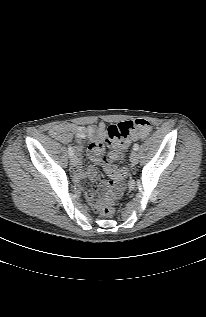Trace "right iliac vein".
Returning a JSON list of instances; mask_svg holds the SVG:
<instances>
[{
    "mask_svg": "<svg viewBox=\"0 0 206 317\" xmlns=\"http://www.w3.org/2000/svg\"><path fill=\"white\" fill-rule=\"evenodd\" d=\"M70 163L73 167H75L77 165V159L76 157L72 156L70 159Z\"/></svg>",
    "mask_w": 206,
    "mask_h": 317,
    "instance_id": "right-iliac-vein-1",
    "label": "right iliac vein"
}]
</instances>
